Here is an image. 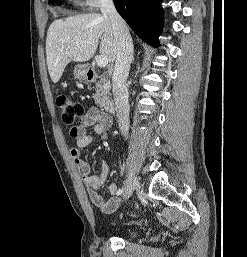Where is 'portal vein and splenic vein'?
Instances as JSON below:
<instances>
[{
    "label": "portal vein and splenic vein",
    "mask_w": 247,
    "mask_h": 257,
    "mask_svg": "<svg viewBox=\"0 0 247 257\" xmlns=\"http://www.w3.org/2000/svg\"><path fill=\"white\" fill-rule=\"evenodd\" d=\"M89 43V42H87ZM108 58L104 55H99L97 58H96V63L98 65V67H106L108 65Z\"/></svg>",
    "instance_id": "1"
}]
</instances>
